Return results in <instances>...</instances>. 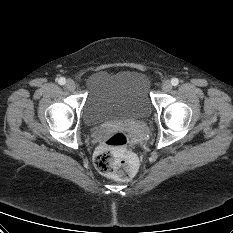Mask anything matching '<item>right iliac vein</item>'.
<instances>
[{"label":"right iliac vein","instance_id":"right-iliac-vein-1","mask_svg":"<svg viewBox=\"0 0 233 233\" xmlns=\"http://www.w3.org/2000/svg\"><path fill=\"white\" fill-rule=\"evenodd\" d=\"M65 86L69 91H74L76 88V83L74 80L68 79Z\"/></svg>","mask_w":233,"mask_h":233}]
</instances>
